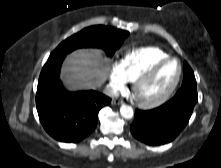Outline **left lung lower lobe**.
Listing matches in <instances>:
<instances>
[{
	"mask_svg": "<svg viewBox=\"0 0 221 168\" xmlns=\"http://www.w3.org/2000/svg\"><path fill=\"white\" fill-rule=\"evenodd\" d=\"M198 101L196 84H182L165 104L151 110L135 111L132 135L148 145H163L173 141L188 124Z\"/></svg>",
	"mask_w": 221,
	"mask_h": 168,
	"instance_id": "obj_1",
	"label": "left lung lower lobe"
}]
</instances>
